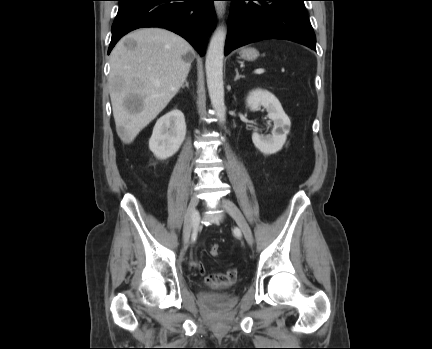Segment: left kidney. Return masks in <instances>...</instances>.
<instances>
[{"label":"left kidney","instance_id":"1","mask_svg":"<svg viewBox=\"0 0 432 349\" xmlns=\"http://www.w3.org/2000/svg\"><path fill=\"white\" fill-rule=\"evenodd\" d=\"M246 103L252 111L259 106H263L274 123L271 135L263 136L253 132L252 141L255 147L263 154L277 153L285 144L291 127L290 119L285 114L281 103L275 95L263 89L252 90L246 99Z\"/></svg>","mask_w":432,"mask_h":349}]
</instances>
